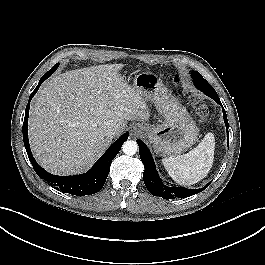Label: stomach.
<instances>
[{
	"instance_id": "0dacf381",
	"label": "stomach",
	"mask_w": 265,
	"mask_h": 265,
	"mask_svg": "<svg viewBox=\"0 0 265 265\" xmlns=\"http://www.w3.org/2000/svg\"><path fill=\"white\" fill-rule=\"evenodd\" d=\"M133 88L145 101L152 102L164 119L158 125L143 128L157 154H181L195 144L199 134L195 121L158 76L150 72L138 73Z\"/></svg>"
}]
</instances>
